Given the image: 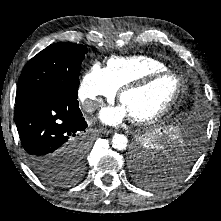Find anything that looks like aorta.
<instances>
[{
    "mask_svg": "<svg viewBox=\"0 0 221 221\" xmlns=\"http://www.w3.org/2000/svg\"><path fill=\"white\" fill-rule=\"evenodd\" d=\"M112 146L119 151L125 150L128 146L127 137L123 134H114L112 137Z\"/></svg>",
    "mask_w": 221,
    "mask_h": 221,
    "instance_id": "762f6f07",
    "label": "aorta"
}]
</instances>
